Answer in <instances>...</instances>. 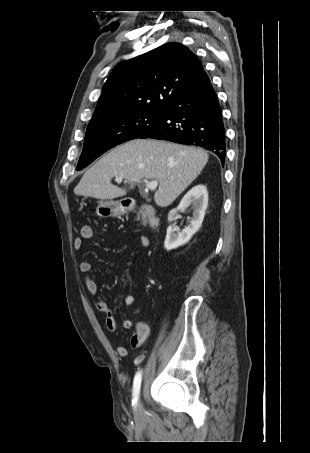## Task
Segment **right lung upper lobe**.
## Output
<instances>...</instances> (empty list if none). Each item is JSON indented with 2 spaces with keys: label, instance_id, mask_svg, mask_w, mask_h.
I'll return each mask as SVG.
<instances>
[{
  "label": "right lung upper lobe",
  "instance_id": "1",
  "mask_svg": "<svg viewBox=\"0 0 310 453\" xmlns=\"http://www.w3.org/2000/svg\"><path fill=\"white\" fill-rule=\"evenodd\" d=\"M205 73L196 55L175 42L121 62L105 82L90 122L118 113L163 110Z\"/></svg>",
  "mask_w": 310,
  "mask_h": 453
}]
</instances>
